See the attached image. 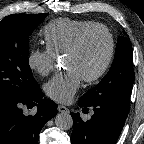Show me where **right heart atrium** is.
<instances>
[{"label":"right heart atrium","instance_id":"right-heart-atrium-1","mask_svg":"<svg viewBox=\"0 0 144 144\" xmlns=\"http://www.w3.org/2000/svg\"><path fill=\"white\" fill-rule=\"evenodd\" d=\"M57 61V56L47 47L43 49H32L27 56V64L41 76L48 75Z\"/></svg>","mask_w":144,"mask_h":144}]
</instances>
